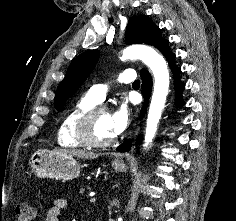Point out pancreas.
I'll return each instance as SVG.
<instances>
[{
    "label": "pancreas",
    "mask_w": 236,
    "mask_h": 221,
    "mask_svg": "<svg viewBox=\"0 0 236 221\" xmlns=\"http://www.w3.org/2000/svg\"><path fill=\"white\" fill-rule=\"evenodd\" d=\"M84 191H85V188H81L79 193H80V194H83Z\"/></svg>",
    "instance_id": "obj_1"
}]
</instances>
